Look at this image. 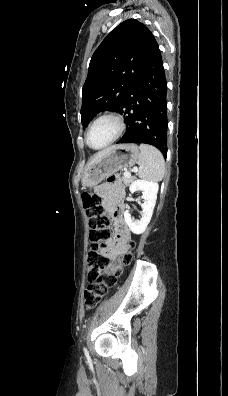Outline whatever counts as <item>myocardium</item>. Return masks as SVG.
<instances>
[{"label":"myocardium","instance_id":"f54148a6","mask_svg":"<svg viewBox=\"0 0 228 396\" xmlns=\"http://www.w3.org/2000/svg\"><path fill=\"white\" fill-rule=\"evenodd\" d=\"M103 119H110V120H112V121L116 124L117 130H116L115 135L113 136V138H112L109 142H107V143H106L105 145H103L102 147L95 148V147L91 146V145H90V142H89L90 132H91L93 126H94L98 121L103 120ZM125 128H126L125 121H124L123 117H122L120 114H118V113H116V112H112V111L102 113V114H100L99 116H97V117L92 121V123L90 124V126H89V128H88V130H87V132H86V138H85V139H86V144H87L91 149H93V150H101V149L107 148V147H109L111 144H113L114 142H116V141L122 136V134H123L124 131H125Z\"/></svg>","mask_w":228,"mask_h":396}]
</instances>
